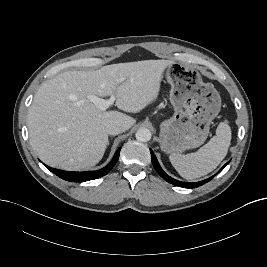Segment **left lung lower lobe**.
<instances>
[{"instance_id": "obj_1", "label": "left lung lower lobe", "mask_w": 267, "mask_h": 267, "mask_svg": "<svg viewBox=\"0 0 267 267\" xmlns=\"http://www.w3.org/2000/svg\"><path fill=\"white\" fill-rule=\"evenodd\" d=\"M150 152H151V160H152V163H153V166L155 168V170L160 174V176L165 179L167 182L173 184V185H176V186H180V187H184V188H196V187H199L203 184H205L206 182H209L214 176L208 178V179H205L203 181H199V182H193V183H187V182H181V181H178V180H175L173 178H171L170 176H168L164 171L163 169L161 168V166L159 165L158 161H157V158L155 156V154L153 153V151L150 149ZM229 162H227L222 168L221 170L228 164ZM220 170V171H221ZM219 171V172H220Z\"/></svg>"}]
</instances>
